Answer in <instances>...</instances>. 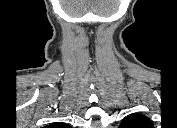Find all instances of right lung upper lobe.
Returning a JSON list of instances; mask_svg holds the SVG:
<instances>
[{"instance_id":"right-lung-upper-lobe-1","label":"right lung upper lobe","mask_w":177,"mask_h":128,"mask_svg":"<svg viewBox=\"0 0 177 128\" xmlns=\"http://www.w3.org/2000/svg\"><path fill=\"white\" fill-rule=\"evenodd\" d=\"M48 128H68L69 125L65 123L55 122L47 126Z\"/></svg>"}]
</instances>
